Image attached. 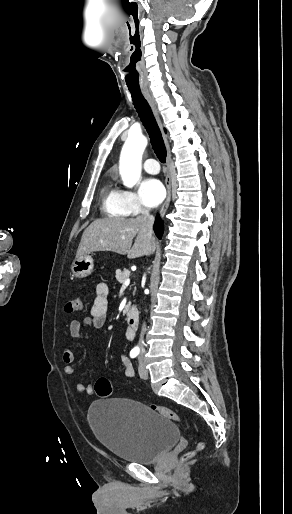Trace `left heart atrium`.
I'll return each instance as SVG.
<instances>
[{
	"instance_id": "1",
	"label": "left heart atrium",
	"mask_w": 292,
	"mask_h": 514,
	"mask_svg": "<svg viewBox=\"0 0 292 514\" xmlns=\"http://www.w3.org/2000/svg\"><path fill=\"white\" fill-rule=\"evenodd\" d=\"M140 193L144 202L149 207H153L163 200L165 188L159 180L148 179L142 183Z\"/></svg>"
}]
</instances>
